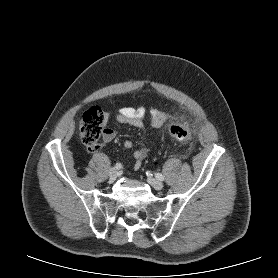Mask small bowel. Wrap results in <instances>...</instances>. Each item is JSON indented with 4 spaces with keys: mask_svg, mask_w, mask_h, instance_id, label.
<instances>
[{
    "mask_svg": "<svg viewBox=\"0 0 278 278\" xmlns=\"http://www.w3.org/2000/svg\"><path fill=\"white\" fill-rule=\"evenodd\" d=\"M146 109L143 106H136V107H122L120 108L117 113L115 114V119L118 122L126 123L132 125L136 128L143 130L145 128L144 118L146 116ZM151 115V126L154 129H159L168 119V114L159 110V109H152L150 111ZM108 120V117L105 118ZM116 136L115 131L110 127H105L103 131V140L104 142H111ZM124 149H130L132 147V142L126 140L123 144ZM148 149L146 147H140L135 150L133 157L134 168H140L143 160L147 157Z\"/></svg>",
    "mask_w": 278,
    "mask_h": 278,
    "instance_id": "c3829d8e",
    "label": "small bowel"
}]
</instances>
